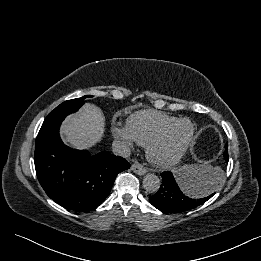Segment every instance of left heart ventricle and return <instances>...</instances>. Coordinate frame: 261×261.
<instances>
[{
    "instance_id": "obj_1",
    "label": "left heart ventricle",
    "mask_w": 261,
    "mask_h": 261,
    "mask_svg": "<svg viewBox=\"0 0 261 261\" xmlns=\"http://www.w3.org/2000/svg\"><path fill=\"white\" fill-rule=\"evenodd\" d=\"M190 129L191 127L188 123L179 124L159 146L158 154L166 157L175 153L186 141Z\"/></svg>"
}]
</instances>
